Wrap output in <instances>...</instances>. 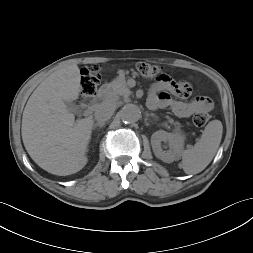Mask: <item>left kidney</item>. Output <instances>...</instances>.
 I'll list each match as a JSON object with an SVG mask.
<instances>
[{
	"instance_id": "1",
	"label": "left kidney",
	"mask_w": 253,
	"mask_h": 253,
	"mask_svg": "<svg viewBox=\"0 0 253 253\" xmlns=\"http://www.w3.org/2000/svg\"><path fill=\"white\" fill-rule=\"evenodd\" d=\"M184 140V135L179 131L167 133L163 130H158L153 133L151 144L153 152L157 158L163 162L171 163L180 158L184 146ZM162 142L168 144V150L164 151L162 149Z\"/></svg>"
}]
</instances>
